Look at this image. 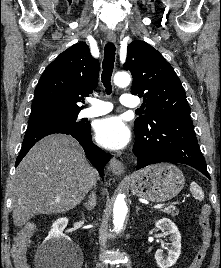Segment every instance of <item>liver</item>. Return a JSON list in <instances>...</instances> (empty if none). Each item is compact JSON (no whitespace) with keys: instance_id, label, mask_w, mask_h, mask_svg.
<instances>
[{"instance_id":"obj_1","label":"liver","mask_w":221,"mask_h":268,"mask_svg":"<svg viewBox=\"0 0 221 268\" xmlns=\"http://www.w3.org/2000/svg\"><path fill=\"white\" fill-rule=\"evenodd\" d=\"M96 180V170L74 138L63 134L43 138L16 169L11 186L14 225L22 227L36 215L73 209Z\"/></svg>"}]
</instances>
